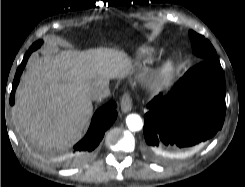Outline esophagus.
<instances>
[{
    "mask_svg": "<svg viewBox=\"0 0 245 187\" xmlns=\"http://www.w3.org/2000/svg\"><path fill=\"white\" fill-rule=\"evenodd\" d=\"M121 111L127 113L132 109V101L129 93H124L120 101Z\"/></svg>",
    "mask_w": 245,
    "mask_h": 187,
    "instance_id": "esophagus-1",
    "label": "esophagus"
}]
</instances>
